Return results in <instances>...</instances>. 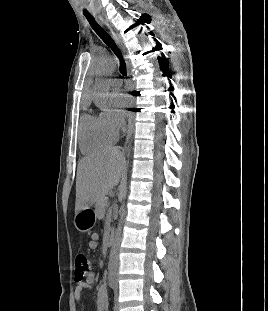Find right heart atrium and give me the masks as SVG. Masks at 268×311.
Listing matches in <instances>:
<instances>
[{"label": "right heart atrium", "mask_w": 268, "mask_h": 311, "mask_svg": "<svg viewBox=\"0 0 268 311\" xmlns=\"http://www.w3.org/2000/svg\"><path fill=\"white\" fill-rule=\"evenodd\" d=\"M102 116L107 125L116 133H118L122 127L123 122L118 114L112 110H106L102 113Z\"/></svg>", "instance_id": "right-heart-atrium-1"}]
</instances>
